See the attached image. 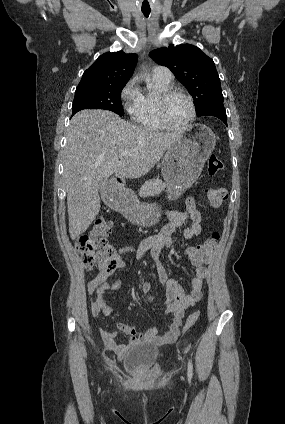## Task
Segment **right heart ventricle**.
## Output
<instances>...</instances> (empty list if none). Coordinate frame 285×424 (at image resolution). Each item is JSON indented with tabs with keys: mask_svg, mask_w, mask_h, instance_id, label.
Masks as SVG:
<instances>
[{
	"mask_svg": "<svg viewBox=\"0 0 285 424\" xmlns=\"http://www.w3.org/2000/svg\"><path fill=\"white\" fill-rule=\"evenodd\" d=\"M152 83L158 91V95L170 89L169 83H163L156 78H152ZM142 100L140 110L135 120L144 128L150 131H161L164 129L157 116V97L148 93H141Z\"/></svg>",
	"mask_w": 285,
	"mask_h": 424,
	"instance_id": "e07e8e85",
	"label": "right heart ventricle"
}]
</instances>
